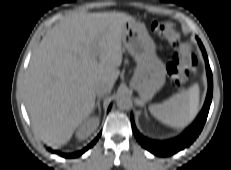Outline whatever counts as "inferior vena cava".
<instances>
[{"label": "inferior vena cava", "mask_w": 231, "mask_h": 170, "mask_svg": "<svg viewBox=\"0 0 231 170\" xmlns=\"http://www.w3.org/2000/svg\"><path fill=\"white\" fill-rule=\"evenodd\" d=\"M94 90H95V93L101 97V96H104L110 93L111 85L106 82H99L95 85Z\"/></svg>", "instance_id": "602c4592"}]
</instances>
